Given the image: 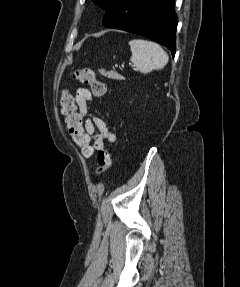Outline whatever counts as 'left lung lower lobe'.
Returning a JSON list of instances; mask_svg holds the SVG:
<instances>
[{
  "label": "left lung lower lobe",
  "instance_id": "0a47b994",
  "mask_svg": "<svg viewBox=\"0 0 240 287\" xmlns=\"http://www.w3.org/2000/svg\"><path fill=\"white\" fill-rule=\"evenodd\" d=\"M173 5L174 0H110L102 24L146 36L174 57L178 19Z\"/></svg>",
  "mask_w": 240,
  "mask_h": 287
}]
</instances>
